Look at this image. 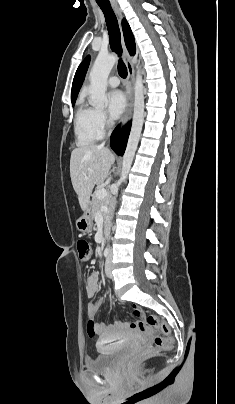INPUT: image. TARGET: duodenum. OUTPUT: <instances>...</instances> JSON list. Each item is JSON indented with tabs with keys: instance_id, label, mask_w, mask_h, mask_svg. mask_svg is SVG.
I'll return each instance as SVG.
<instances>
[{
	"instance_id": "410a0bca",
	"label": "duodenum",
	"mask_w": 235,
	"mask_h": 404,
	"mask_svg": "<svg viewBox=\"0 0 235 404\" xmlns=\"http://www.w3.org/2000/svg\"><path fill=\"white\" fill-rule=\"evenodd\" d=\"M108 238V234L105 233L104 237H103V241H105Z\"/></svg>"
}]
</instances>
